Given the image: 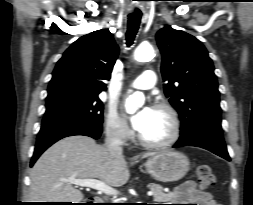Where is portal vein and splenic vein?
<instances>
[{"instance_id":"portal-vein-and-splenic-vein-1","label":"portal vein and splenic vein","mask_w":253,"mask_h":205,"mask_svg":"<svg viewBox=\"0 0 253 205\" xmlns=\"http://www.w3.org/2000/svg\"><path fill=\"white\" fill-rule=\"evenodd\" d=\"M65 181H68L76 186L91 188L114 197H116L118 194L116 189L96 179H66ZM147 195L152 196L153 192L148 191Z\"/></svg>"}]
</instances>
